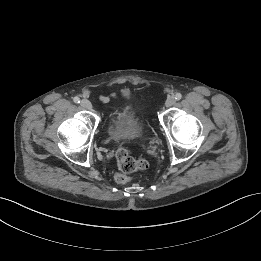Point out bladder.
I'll use <instances>...</instances> for the list:
<instances>
[{
  "label": "bladder",
  "mask_w": 261,
  "mask_h": 261,
  "mask_svg": "<svg viewBox=\"0 0 261 261\" xmlns=\"http://www.w3.org/2000/svg\"><path fill=\"white\" fill-rule=\"evenodd\" d=\"M143 125L137 108L130 101L114 108L109 116L108 133L113 140L130 141L139 138Z\"/></svg>",
  "instance_id": "bladder-1"
}]
</instances>
